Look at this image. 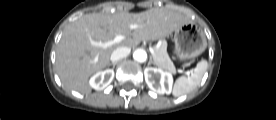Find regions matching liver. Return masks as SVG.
Wrapping results in <instances>:
<instances>
[{"instance_id": "6515ba94", "label": "liver", "mask_w": 276, "mask_h": 120, "mask_svg": "<svg viewBox=\"0 0 276 120\" xmlns=\"http://www.w3.org/2000/svg\"><path fill=\"white\" fill-rule=\"evenodd\" d=\"M191 20L167 7L141 13L86 14L66 27L57 48L56 69L63 85L82 94H90L89 77L110 64L118 47L133 48L142 40L155 41L169 36ZM136 28L132 29L131 26ZM133 30L132 38L128 37ZM124 39L107 48L93 46L92 41L107 42L115 36Z\"/></svg>"}]
</instances>
